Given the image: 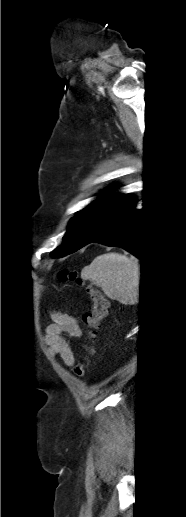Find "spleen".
I'll list each match as a JSON object with an SVG mask.
<instances>
[{
	"instance_id": "1",
	"label": "spleen",
	"mask_w": 186,
	"mask_h": 517,
	"mask_svg": "<svg viewBox=\"0 0 186 517\" xmlns=\"http://www.w3.org/2000/svg\"><path fill=\"white\" fill-rule=\"evenodd\" d=\"M81 277L100 287L110 299L131 305L139 301L140 264L136 259L103 254L82 269Z\"/></svg>"
}]
</instances>
